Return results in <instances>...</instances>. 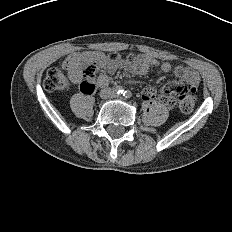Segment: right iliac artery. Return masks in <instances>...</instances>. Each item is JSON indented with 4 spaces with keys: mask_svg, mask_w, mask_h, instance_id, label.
<instances>
[{
    "mask_svg": "<svg viewBox=\"0 0 232 232\" xmlns=\"http://www.w3.org/2000/svg\"><path fill=\"white\" fill-rule=\"evenodd\" d=\"M115 91H116L117 94L121 95V94H123V91H124V90L122 89L121 86H118V87H116V90H115Z\"/></svg>",
    "mask_w": 232,
    "mask_h": 232,
    "instance_id": "obj_1",
    "label": "right iliac artery"
}]
</instances>
